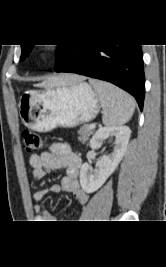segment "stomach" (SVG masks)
Wrapping results in <instances>:
<instances>
[{
  "mask_svg": "<svg viewBox=\"0 0 166 267\" xmlns=\"http://www.w3.org/2000/svg\"><path fill=\"white\" fill-rule=\"evenodd\" d=\"M22 123L37 132L70 128L94 119L100 110L97 92L86 82L27 91L19 102Z\"/></svg>",
  "mask_w": 166,
  "mask_h": 267,
  "instance_id": "0dacf381",
  "label": "stomach"
}]
</instances>
